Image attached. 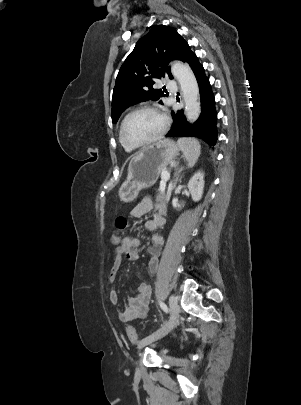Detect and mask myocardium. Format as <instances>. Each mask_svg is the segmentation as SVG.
<instances>
[{
  "label": "myocardium",
  "instance_id": "1",
  "mask_svg": "<svg viewBox=\"0 0 301 405\" xmlns=\"http://www.w3.org/2000/svg\"><path fill=\"white\" fill-rule=\"evenodd\" d=\"M141 111H151V112L158 114L162 118L163 124H162V128L160 129V131L154 137H152L151 139L146 140L144 142L135 143V142L130 141L126 137L125 127H126V124H127V121L129 120V118L131 116H133L134 114L141 112ZM169 125H170V120H169L168 116L158 107L153 106V105L139 106V107L131 110L122 120V123L120 126V138H121L122 142L130 148L137 149V148L145 147V146H148V145L153 144V143L157 142L158 140H160L168 131Z\"/></svg>",
  "mask_w": 301,
  "mask_h": 405
}]
</instances>
